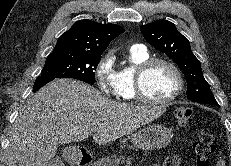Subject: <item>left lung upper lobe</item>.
Instances as JSON below:
<instances>
[{"instance_id": "left-lung-upper-lobe-1", "label": "left lung upper lobe", "mask_w": 231, "mask_h": 166, "mask_svg": "<svg viewBox=\"0 0 231 166\" xmlns=\"http://www.w3.org/2000/svg\"><path fill=\"white\" fill-rule=\"evenodd\" d=\"M140 30L145 40L157 50L174 60L187 77L188 99L198 103L218 105L203 77L201 64L191 51L190 43L176 26L167 20H157L142 25Z\"/></svg>"}]
</instances>
